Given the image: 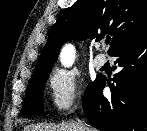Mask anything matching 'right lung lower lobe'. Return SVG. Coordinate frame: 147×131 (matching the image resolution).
I'll use <instances>...</instances> for the list:
<instances>
[{"mask_svg": "<svg viewBox=\"0 0 147 131\" xmlns=\"http://www.w3.org/2000/svg\"><path fill=\"white\" fill-rule=\"evenodd\" d=\"M111 56L120 68L107 82L112 95L103 96L106 80L97 77L83 98L86 117L100 131H147V34Z\"/></svg>", "mask_w": 147, "mask_h": 131, "instance_id": "1", "label": "right lung lower lobe"}]
</instances>
